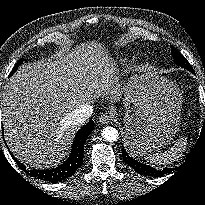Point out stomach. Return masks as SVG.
Wrapping results in <instances>:
<instances>
[{
  "mask_svg": "<svg viewBox=\"0 0 205 205\" xmlns=\"http://www.w3.org/2000/svg\"><path fill=\"white\" fill-rule=\"evenodd\" d=\"M137 73L125 90L126 136L138 151L159 150L168 145L179 130L181 96L171 83L150 80L143 69Z\"/></svg>",
  "mask_w": 205,
  "mask_h": 205,
  "instance_id": "0dacf381",
  "label": "stomach"
}]
</instances>
